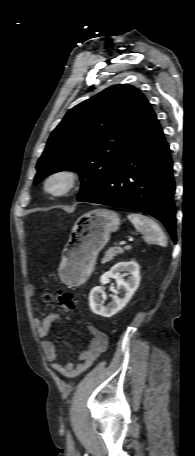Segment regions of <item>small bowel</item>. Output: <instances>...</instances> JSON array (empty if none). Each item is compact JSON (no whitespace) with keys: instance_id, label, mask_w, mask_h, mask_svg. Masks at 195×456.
Wrapping results in <instances>:
<instances>
[{"instance_id":"1","label":"small bowel","mask_w":195,"mask_h":456,"mask_svg":"<svg viewBox=\"0 0 195 456\" xmlns=\"http://www.w3.org/2000/svg\"><path fill=\"white\" fill-rule=\"evenodd\" d=\"M29 296L35 301L37 299V289L34 286L29 287ZM60 319L58 313H51L43 319H35L36 330L42 339L41 347L52 367L66 377H76L87 370L93 362L106 350L108 339L104 332L97 327L90 325L89 331L92 335L89 347L82 351L77 361L62 363L55 344L48 339L49 332L55 322Z\"/></svg>"}]
</instances>
